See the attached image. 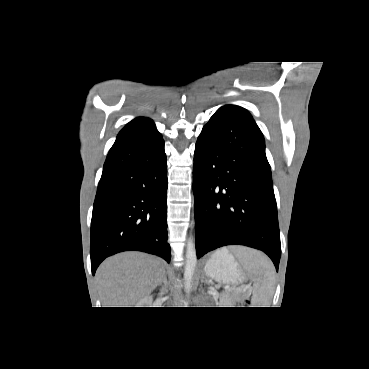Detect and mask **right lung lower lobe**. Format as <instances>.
I'll list each match as a JSON object with an SVG mask.
<instances>
[{
    "label": "right lung lower lobe",
    "mask_w": 369,
    "mask_h": 369,
    "mask_svg": "<svg viewBox=\"0 0 369 369\" xmlns=\"http://www.w3.org/2000/svg\"><path fill=\"white\" fill-rule=\"evenodd\" d=\"M166 190L164 141L156 129L114 143L93 206V275L106 257L122 251H143L170 262Z\"/></svg>",
    "instance_id": "98d812e1"
}]
</instances>
